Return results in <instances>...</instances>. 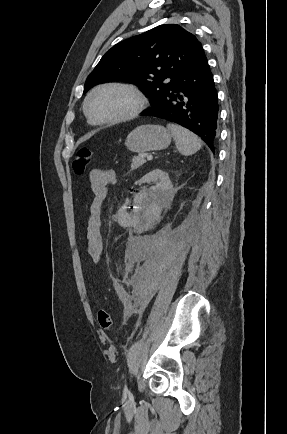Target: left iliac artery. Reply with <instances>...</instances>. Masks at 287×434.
Wrapping results in <instances>:
<instances>
[{
	"mask_svg": "<svg viewBox=\"0 0 287 434\" xmlns=\"http://www.w3.org/2000/svg\"><path fill=\"white\" fill-rule=\"evenodd\" d=\"M124 393H125V394H129V390H128V388H127L126 385H125V387H124Z\"/></svg>",
	"mask_w": 287,
	"mask_h": 434,
	"instance_id": "1",
	"label": "left iliac artery"
}]
</instances>
